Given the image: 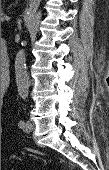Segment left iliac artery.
I'll return each mask as SVG.
<instances>
[{
    "label": "left iliac artery",
    "mask_w": 109,
    "mask_h": 170,
    "mask_svg": "<svg viewBox=\"0 0 109 170\" xmlns=\"http://www.w3.org/2000/svg\"><path fill=\"white\" fill-rule=\"evenodd\" d=\"M24 124H25L24 121H22V120L19 121V123H18L19 128H23Z\"/></svg>",
    "instance_id": "1"
}]
</instances>
